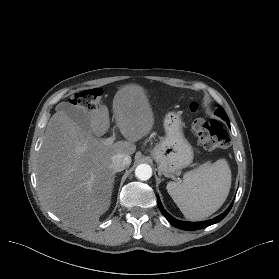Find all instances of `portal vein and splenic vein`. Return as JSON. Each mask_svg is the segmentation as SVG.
Returning a JSON list of instances; mask_svg holds the SVG:
<instances>
[{"label": "portal vein and splenic vein", "mask_w": 279, "mask_h": 279, "mask_svg": "<svg viewBox=\"0 0 279 279\" xmlns=\"http://www.w3.org/2000/svg\"><path fill=\"white\" fill-rule=\"evenodd\" d=\"M114 136L113 137H110V138H107L106 140H105V142L107 143V144H111V143H113L114 142Z\"/></svg>", "instance_id": "18ae733b"}]
</instances>
